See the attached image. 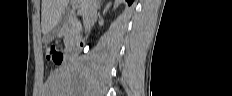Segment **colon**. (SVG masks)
I'll return each instance as SVG.
<instances>
[{
	"instance_id": "obj_1",
	"label": "colon",
	"mask_w": 232,
	"mask_h": 96,
	"mask_svg": "<svg viewBox=\"0 0 232 96\" xmlns=\"http://www.w3.org/2000/svg\"><path fill=\"white\" fill-rule=\"evenodd\" d=\"M47 56L48 59L56 65L61 64L64 58L63 53L55 46H50L47 48Z\"/></svg>"
}]
</instances>
